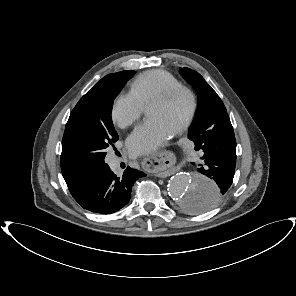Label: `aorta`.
I'll list each match as a JSON object with an SVG mask.
<instances>
[{
    "mask_svg": "<svg viewBox=\"0 0 296 296\" xmlns=\"http://www.w3.org/2000/svg\"><path fill=\"white\" fill-rule=\"evenodd\" d=\"M217 184L203 175L177 173L168 184V194L177 207L190 214L210 210L216 202Z\"/></svg>",
    "mask_w": 296,
    "mask_h": 296,
    "instance_id": "1",
    "label": "aorta"
}]
</instances>
